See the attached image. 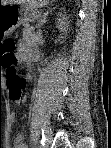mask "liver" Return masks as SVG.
<instances>
[{
    "instance_id": "liver-1",
    "label": "liver",
    "mask_w": 111,
    "mask_h": 148,
    "mask_svg": "<svg viewBox=\"0 0 111 148\" xmlns=\"http://www.w3.org/2000/svg\"><path fill=\"white\" fill-rule=\"evenodd\" d=\"M20 0H10V1H3V5H6V4H15V3H19Z\"/></svg>"
}]
</instances>
